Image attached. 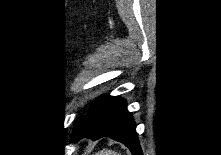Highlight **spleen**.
<instances>
[{"instance_id": "spleen-1", "label": "spleen", "mask_w": 221, "mask_h": 155, "mask_svg": "<svg viewBox=\"0 0 221 155\" xmlns=\"http://www.w3.org/2000/svg\"><path fill=\"white\" fill-rule=\"evenodd\" d=\"M96 155H121V154L117 153L113 150H102V151L96 153Z\"/></svg>"}]
</instances>
